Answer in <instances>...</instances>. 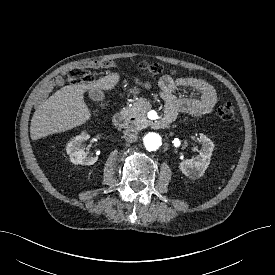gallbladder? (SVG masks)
Returning <instances> with one entry per match:
<instances>
[{
  "label": "gallbladder",
  "mask_w": 275,
  "mask_h": 275,
  "mask_svg": "<svg viewBox=\"0 0 275 275\" xmlns=\"http://www.w3.org/2000/svg\"><path fill=\"white\" fill-rule=\"evenodd\" d=\"M89 97L94 102H102L105 99V95L100 89H91L89 91Z\"/></svg>",
  "instance_id": "gallbladder-1"
}]
</instances>
